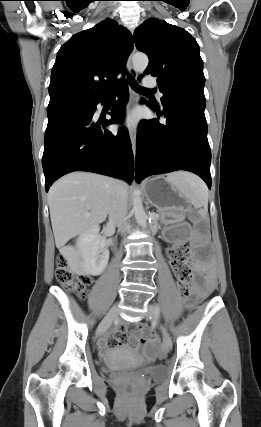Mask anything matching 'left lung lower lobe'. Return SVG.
<instances>
[{
	"mask_svg": "<svg viewBox=\"0 0 261 427\" xmlns=\"http://www.w3.org/2000/svg\"><path fill=\"white\" fill-rule=\"evenodd\" d=\"M158 119L140 122L136 141L135 180L186 170L200 176L211 188V151L207 139V122L204 115L205 99L191 95H177L163 102V109L146 102Z\"/></svg>",
	"mask_w": 261,
	"mask_h": 427,
	"instance_id": "left-lung-lower-lobe-1",
	"label": "left lung lower lobe"
}]
</instances>
